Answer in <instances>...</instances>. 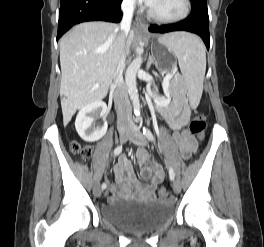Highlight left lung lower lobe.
<instances>
[{"mask_svg":"<svg viewBox=\"0 0 264 247\" xmlns=\"http://www.w3.org/2000/svg\"><path fill=\"white\" fill-rule=\"evenodd\" d=\"M149 31L157 33L188 31L196 33L202 38L206 47L209 49L210 35L207 4L192 2L191 14L187 19L175 24L162 26L156 24L151 25Z\"/></svg>","mask_w":264,"mask_h":247,"instance_id":"obj_1","label":"left lung lower lobe"}]
</instances>
